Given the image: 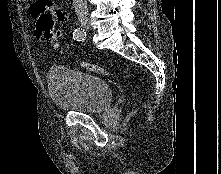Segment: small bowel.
<instances>
[{
  "label": "small bowel",
  "instance_id": "c3829d8e",
  "mask_svg": "<svg viewBox=\"0 0 221 174\" xmlns=\"http://www.w3.org/2000/svg\"><path fill=\"white\" fill-rule=\"evenodd\" d=\"M32 18L37 20L44 14L51 15L59 23L65 24L68 21V13L56 6L52 0H27Z\"/></svg>",
  "mask_w": 221,
  "mask_h": 174
}]
</instances>
